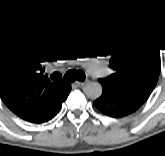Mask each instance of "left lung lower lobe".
<instances>
[{"label": "left lung lower lobe", "mask_w": 165, "mask_h": 156, "mask_svg": "<svg viewBox=\"0 0 165 156\" xmlns=\"http://www.w3.org/2000/svg\"><path fill=\"white\" fill-rule=\"evenodd\" d=\"M103 87L102 95L93 102L94 106L103 114L118 118L137 111L142 104L124 95L115 86L103 79H99Z\"/></svg>", "instance_id": "1"}]
</instances>
